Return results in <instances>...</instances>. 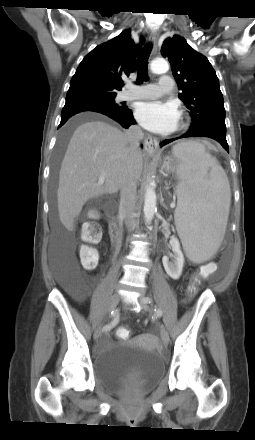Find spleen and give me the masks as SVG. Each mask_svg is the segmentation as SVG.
Listing matches in <instances>:
<instances>
[{
    "instance_id": "3e777b00",
    "label": "spleen",
    "mask_w": 255,
    "mask_h": 440,
    "mask_svg": "<svg viewBox=\"0 0 255 440\" xmlns=\"http://www.w3.org/2000/svg\"><path fill=\"white\" fill-rule=\"evenodd\" d=\"M173 154L180 161L175 225L189 259L201 263L216 253L223 240L231 201L229 181L200 143H180Z\"/></svg>"
}]
</instances>
